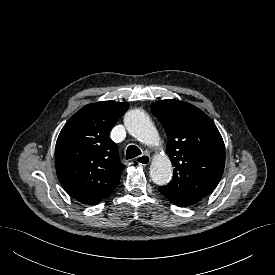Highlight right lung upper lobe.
<instances>
[{"instance_id":"right-lung-upper-lobe-1","label":"right lung upper lobe","mask_w":275,"mask_h":275,"mask_svg":"<svg viewBox=\"0 0 275 275\" xmlns=\"http://www.w3.org/2000/svg\"><path fill=\"white\" fill-rule=\"evenodd\" d=\"M126 102L88 104L62 128L55 164L63 188L81 203H97L118 185L124 165L109 132L127 111Z\"/></svg>"}]
</instances>
